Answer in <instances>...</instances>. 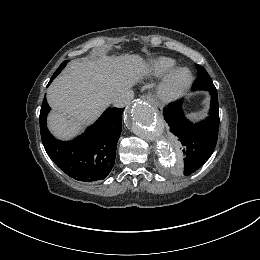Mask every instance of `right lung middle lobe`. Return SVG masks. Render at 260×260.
<instances>
[{
	"label": "right lung middle lobe",
	"instance_id": "1",
	"mask_svg": "<svg viewBox=\"0 0 260 260\" xmlns=\"http://www.w3.org/2000/svg\"><path fill=\"white\" fill-rule=\"evenodd\" d=\"M66 63H67V61H64V62L60 65V67L56 70V75H58V74L61 72V70L65 67Z\"/></svg>",
	"mask_w": 260,
	"mask_h": 260
}]
</instances>
